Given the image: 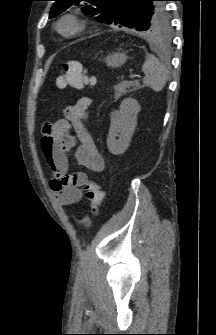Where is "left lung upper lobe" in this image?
I'll list each match as a JSON object with an SVG mask.
<instances>
[{
  "mask_svg": "<svg viewBox=\"0 0 216 335\" xmlns=\"http://www.w3.org/2000/svg\"><path fill=\"white\" fill-rule=\"evenodd\" d=\"M49 18H54L71 5L86 1L82 10L99 22L150 33L167 32L170 20L165 0H54Z\"/></svg>",
  "mask_w": 216,
  "mask_h": 335,
  "instance_id": "1",
  "label": "left lung upper lobe"
}]
</instances>
